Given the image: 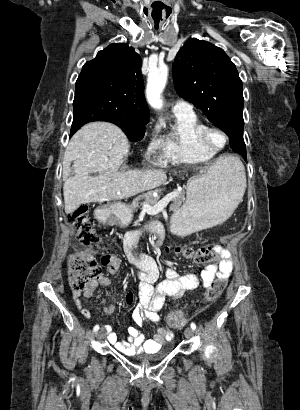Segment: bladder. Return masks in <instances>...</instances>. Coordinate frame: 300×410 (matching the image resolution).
Returning a JSON list of instances; mask_svg holds the SVG:
<instances>
[{"label":"bladder","instance_id":"obj_1","mask_svg":"<svg viewBox=\"0 0 300 410\" xmlns=\"http://www.w3.org/2000/svg\"><path fill=\"white\" fill-rule=\"evenodd\" d=\"M170 350L171 347L168 346L156 353H153L152 355L137 356L136 359L142 363H155L165 358L170 352Z\"/></svg>","mask_w":300,"mask_h":410}]
</instances>
